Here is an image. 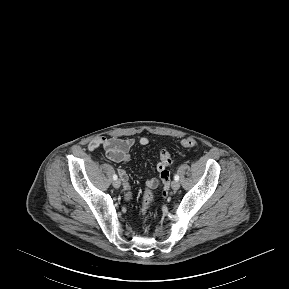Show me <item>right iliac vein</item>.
Returning a JSON list of instances; mask_svg holds the SVG:
<instances>
[{"label":"right iliac vein","instance_id":"1","mask_svg":"<svg viewBox=\"0 0 289 289\" xmlns=\"http://www.w3.org/2000/svg\"><path fill=\"white\" fill-rule=\"evenodd\" d=\"M113 186H114V188H119V187L121 186L120 180H115V181L113 182Z\"/></svg>","mask_w":289,"mask_h":289}]
</instances>
